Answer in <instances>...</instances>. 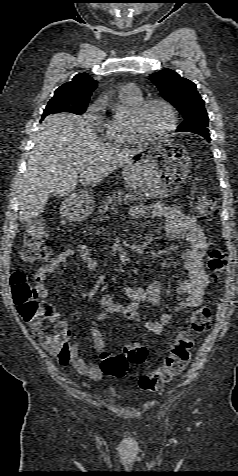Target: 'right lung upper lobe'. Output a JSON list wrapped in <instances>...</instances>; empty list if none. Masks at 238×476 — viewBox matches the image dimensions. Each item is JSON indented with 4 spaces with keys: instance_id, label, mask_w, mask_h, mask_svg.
Here are the masks:
<instances>
[{
    "instance_id": "obj_1",
    "label": "right lung upper lobe",
    "mask_w": 238,
    "mask_h": 476,
    "mask_svg": "<svg viewBox=\"0 0 238 476\" xmlns=\"http://www.w3.org/2000/svg\"><path fill=\"white\" fill-rule=\"evenodd\" d=\"M97 87V81L87 73H79L56 89L54 96H65L72 99L74 104L87 105L92 92Z\"/></svg>"
}]
</instances>
